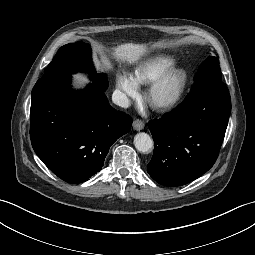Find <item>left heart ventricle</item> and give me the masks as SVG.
<instances>
[{"label": "left heart ventricle", "mask_w": 255, "mask_h": 255, "mask_svg": "<svg viewBox=\"0 0 255 255\" xmlns=\"http://www.w3.org/2000/svg\"><path fill=\"white\" fill-rule=\"evenodd\" d=\"M174 83H175V82L172 81V82L169 84L168 89L171 88V87L174 85ZM162 95H163V94H158V95H157V98H160Z\"/></svg>", "instance_id": "left-heart-ventricle-1"}]
</instances>
